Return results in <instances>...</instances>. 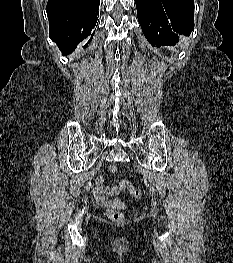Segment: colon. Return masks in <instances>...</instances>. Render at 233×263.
I'll return each mask as SVG.
<instances>
[{"mask_svg": "<svg viewBox=\"0 0 233 263\" xmlns=\"http://www.w3.org/2000/svg\"><path fill=\"white\" fill-rule=\"evenodd\" d=\"M111 172L117 171L116 165L110 166ZM117 188L121 190H128L131 195H133L136 198H141L144 195V192L142 189L135 187L130 181L128 180H122L118 183ZM107 216L115 223H122L124 221V215L122 212H120L117 209H108L107 210Z\"/></svg>", "mask_w": 233, "mask_h": 263, "instance_id": "obj_1", "label": "colon"}]
</instances>
